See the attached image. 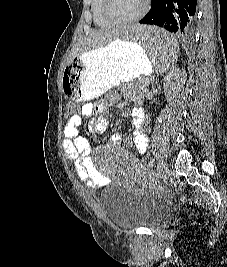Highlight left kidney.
Instances as JSON below:
<instances>
[{"mask_svg":"<svg viewBox=\"0 0 227 267\" xmlns=\"http://www.w3.org/2000/svg\"><path fill=\"white\" fill-rule=\"evenodd\" d=\"M187 80V73L184 69H174L164 78V92L167 99L176 97L181 87Z\"/></svg>","mask_w":227,"mask_h":267,"instance_id":"left-kidney-1","label":"left kidney"}]
</instances>
